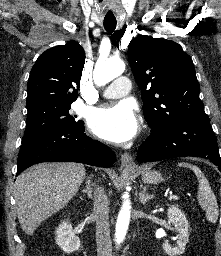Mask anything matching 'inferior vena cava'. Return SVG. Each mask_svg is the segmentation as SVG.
I'll use <instances>...</instances> for the list:
<instances>
[{
  "mask_svg": "<svg viewBox=\"0 0 221 256\" xmlns=\"http://www.w3.org/2000/svg\"><path fill=\"white\" fill-rule=\"evenodd\" d=\"M93 200L98 256H112L109 229V201L103 188L98 187L95 190Z\"/></svg>",
  "mask_w": 221,
  "mask_h": 256,
  "instance_id": "602c4592",
  "label": "inferior vena cava"
}]
</instances>
